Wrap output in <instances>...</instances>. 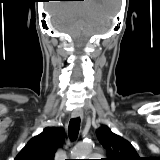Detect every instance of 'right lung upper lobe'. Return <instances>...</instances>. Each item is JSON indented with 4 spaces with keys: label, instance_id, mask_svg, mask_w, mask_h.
I'll use <instances>...</instances> for the list:
<instances>
[{
    "label": "right lung upper lobe",
    "instance_id": "1",
    "mask_svg": "<svg viewBox=\"0 0 160 160\" xmlns=\"http://www.w3.org/2000/svg\"><path fill=\"white\" fill-rule=\"evenodd\" d=\"M65 133L59 127H47L33 137L14 160H53L58 147L64 142Z\"/></svg>",
    "mask_w": 160,
    "mask_h": 160
}]
</instances>
